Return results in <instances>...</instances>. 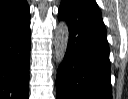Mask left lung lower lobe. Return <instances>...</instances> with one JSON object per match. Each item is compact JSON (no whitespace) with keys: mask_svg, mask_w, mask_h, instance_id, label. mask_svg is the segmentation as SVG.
Masks as SVG:
<instances>
[{"mask_svg":"<svg viewBox=\"0 0 128 99\" xmlns=\"http://www.w3.org/2000/svg\"><path fill=\"white\" fill-rule=\"evenodd\" d=\"M69 41L56 77L57 99H112L106 28L94 0H62Z\"/></svg>","mask_w":128,"mask_h":99,"instance_id":"obj_1","label":"left lung lower lobe"}]
</instances>
